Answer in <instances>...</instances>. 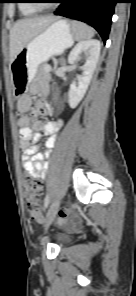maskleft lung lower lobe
<instances>
[{
    "label": "left lung lower lobe",
    "mask_w": 136,
    "mask_h": 296,
    "mask_svg": "<svg viewBox=\"0 0 136 296\" xmlns=\"http://www.w3.org/2000/svg\"><path fill=\"white\" fill-rule=\"evenodd\" d=\"M117 0H62L55 15L73 18L94 27L104 43L108 39L111 19Z\"/></svg>",
    "instance_id": "0a47b994"
}]
</instances>
